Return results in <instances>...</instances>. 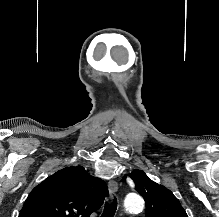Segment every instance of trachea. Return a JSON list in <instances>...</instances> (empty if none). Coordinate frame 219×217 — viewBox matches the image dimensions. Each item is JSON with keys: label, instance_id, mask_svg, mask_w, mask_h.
Segmentation results:
<instances>
[{"label": "trachea", "instance_id": "3493384b", "mask_svg": "<svg viewBox=\"0 0 219 217\" xmlns=\"http://www.w3.org/2000/svg\"><path fill=\"white\" fill-rule=\"evenodd\" d=\"M116 209H117V200L116 198H114L112 202L105 203L104 211L101 217H114Z\"/></svg>", "mask_w": 219, "mask_h": 217}]
</instances>
